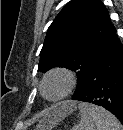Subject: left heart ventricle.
I'll list each match as a JSON object with an SVG mask.
<instances>
[{"mask_svg":"<svg viewBox=\"0 0 123 130\" xmlns=\"http://www.w3.org/2000/svg\"><path fill=\"white\" fill-rule=\"evenodd\" d=\"M65 87V81L61 76L50 78L45 85V92L49 96L58 95Z\"/></svg>","mask_w":123,"mask_h":130,"instance_id":"b2bd125f","label":"left heart ventricle"}]
</instances>
